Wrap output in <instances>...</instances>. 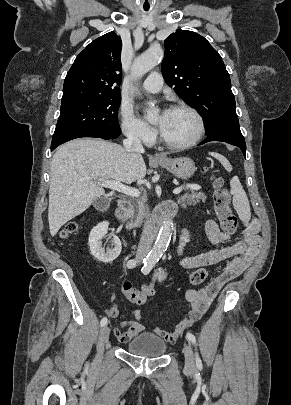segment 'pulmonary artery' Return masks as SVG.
Returning a JSON list of instances; mask_svg holds the SVG:
<instances>
[{"label": "pulmonary artery", "instance_id": "1", "mask_svg": "<svg viewBox=\"0 0 291 405\" xmlns=\"http://www.w3.org/2000/svg\"><path fill=\"white\" fill-rule=\"evenodd\" d=\"M143 88L148 92H159L163 86V78L158 72H151L143 82Z\"/></svg>", "mask_w": 291, "mask_h": 405}]
</instances>
